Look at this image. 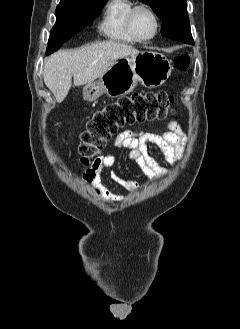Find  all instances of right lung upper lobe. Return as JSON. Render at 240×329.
Here are the masks:
<instances>
[{"label": "right lung upper lobe", "instance_id": "cb5924a9", "mask_svg": "<svg viewBox=\"0 0 240 329\" xmlns=\"http://www.w3.org/2000/svg\"><path fill=\"white\" fill-rule=\"evenodd\" d=\"M80 1H91V0H60V4H66L71 2H80Z\"/></svg>", "mask_w": 240, "mask_h": 329}]
</instances>
